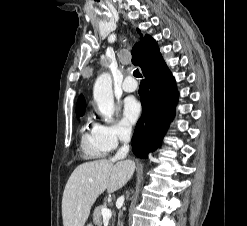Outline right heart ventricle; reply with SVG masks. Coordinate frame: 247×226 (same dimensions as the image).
Here are the masks:
<instances>
[{"label":"right heart ventricle","mask_w":247,"mask_h":226,"mask_svg":"<svg viewBox=\"0 0 247 226\" xmlns=\"http://www.w3.org/2000/svg\"><path fill=\"white\" fill-rule=\"evenodd\" d=\"M80 149L86 159L104 157L108 152L97 135V125L87 121L81 128Z\"/></svg>","instance_id":"1"}]
</instances>
